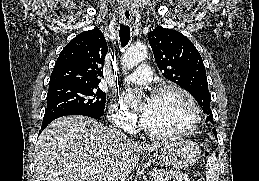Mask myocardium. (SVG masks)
I'll return each mask as SVG.
<instances>
[{
  "label": "myocardium",
  "mask_w": 259,
  "mask_h": 181,
  "mask_svg": "<svg viewBox=\"0 0 259 181\" xmlns=\"http://www.w3.org/2000/svg\"><path fill=\"white\" fill-rule=\"evenodd\" d=\"M167 91H176L181 94L189 103L193 110V121L191 125L185 129L178 130V131H158L155 129L150 128L146 122L144 121L143 117H141L140 124L142 129L149 135L158 138H173V137H185L192 134L200 125L202 120L201 109L195 100V98L182 86L174 84V83H167L163 84L157 88H155L152 92L151 97L159 96L160 94L167 92Z\"/></svg>",
  "instance_id": "myocardium-1"
}]
</instances>
